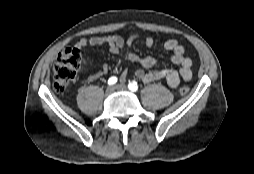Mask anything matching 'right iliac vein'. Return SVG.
Instances as JSON below:
<instances>
[{
  "label": "right iliac vein",
  "mask_w": 254,
  "mask_h": 174,
  "mask_svg": "<svg viewBox=\"0 0 254 174\" xmlns=\"http://www.w3.org/2000/svg\"><path fill=\"white\" fill-rule=\"evenodd\" d=\"M115 90V87L113 86H109L107 89H106V95H111Z\"/></svg>",
  "instance_id": "63e3f726"
}]
</instances>
